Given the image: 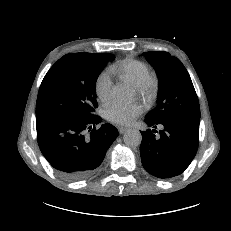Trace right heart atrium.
Segmentation results:
<instances>
[{
	"label": "right heart atrium",
	"mask_w": 231,
	"mask_h": 231,
	"mask_svg": "<svg viewBox=\"0 0 231 231\" xmlns=\"http://www.w3.org/2000/svg\"><path fill=\"white\" fill-rule=\"evenodd\" d=\"M112 78L110 72H101L95 81V93L97 98L103 102L107 103L112 97Z\"/></svg>",
	"instance_id": "right-heart-atrium-1"
}]
</instances>
